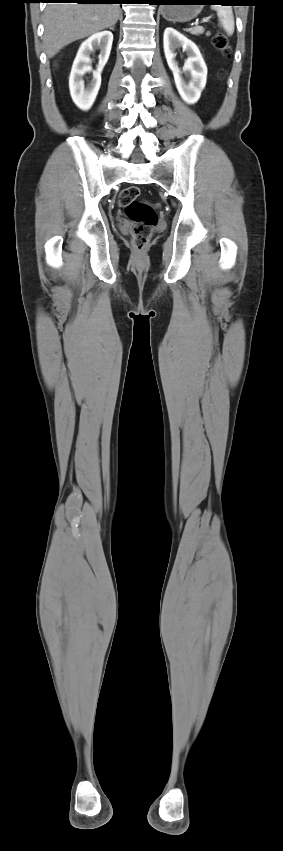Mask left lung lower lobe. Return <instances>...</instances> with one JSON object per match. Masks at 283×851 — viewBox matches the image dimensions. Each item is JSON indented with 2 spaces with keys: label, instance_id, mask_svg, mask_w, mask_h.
<instances>
[{
  "label": "left lung lower lobe",
  "instance_id": "1",
  "mask_svg": "<svg viewBox=\"0 0 283 851\" xmlns=\"http://www.w3.org/2000/svg\"><path fill=\"white\" fill-rule=\"evenodd\" d=\"M170 1H171V0H152V3H153V4H156V5H163V4L171 3ZM233 1H235V0H203V2H207V3H212V2H213V3H216V2H219V3H233ZM222 5H223V4H222ZM226 5H230V4H226Z\"/></svg>",
  "mask_w": 283,
  "mask_h": 851
}]
</instances>
